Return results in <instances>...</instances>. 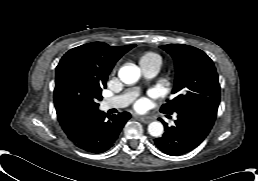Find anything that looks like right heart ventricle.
Segmentation results:
<instances>
[{"label":"right heart ventricle","mask_w":258,"mask_h":181,"mask_svg":"<svg viewBox=\"0 0 258 181\" xmlns=\"http://www.w3.org/2000/svg\"><path fill=\"white\" fill-rule=\"evenodd\" d=\"M139 62L140 65L143 68H147L153 65H160L162 64V58L160 57L159 54L153 52V51H147L144 52L140 57H139Z\"/></svg>","instance_id":"1"}]
</instances>
